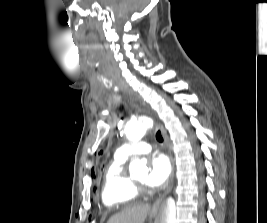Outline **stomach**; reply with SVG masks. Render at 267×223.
Returning <instances> with one entry per match:
<instances>
[{"mask_svg":"<svg viewBox=\"0 0 267 223\" xmlns=\"http://www.w3.org/2000/svg\"><path fill=\"white\" fill-rule=\"evenodd\" d=\"M155 215H156V213H155V212H152V213H151V216H155Z\"/></svg>","mask_w":267,"mask_h":223,"instance_id":"obj_1","label":"stomach"}]
</instances>
